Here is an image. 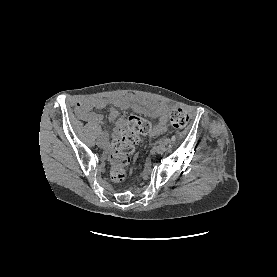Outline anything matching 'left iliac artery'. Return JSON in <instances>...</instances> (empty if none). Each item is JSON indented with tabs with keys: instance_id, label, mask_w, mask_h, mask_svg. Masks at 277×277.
<instances>
[{
	"instance_id": "left-iliac-artery-1",
	"label": "left iliac artery",
	"mask_w": 277,
	"mask_h": 277,
	"mask_svg": "<svg viewBox=\"0 0 277 277\" xmlns=\"http://www.w3.org/2000/svg\"><path fill=\"white\" fill-rule=\"evenodd\" d=\"M159 143H160V144L167 145V144L170 143V139H168V138L161 139V140L159 141Z\"/></svg>"
}]
</instances>
